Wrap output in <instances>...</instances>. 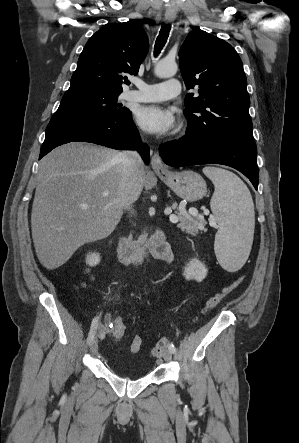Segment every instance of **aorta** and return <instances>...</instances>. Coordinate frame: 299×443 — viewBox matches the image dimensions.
I'll use <instances>...</instances> for the list:
<instances>
[{
	"instance_id": "762f6f07",
	"label": "aorta",
	"mask_w": 299,
	"mask_h": 443,
	"mask_svg": "<svg viewBox=\"0 0 299 443\" xmlns=\"http://www.w3.org/2000/svg\"><path fill=\"white\" fill-rule=\"evenodd\" d=\"M178 71V66L175 61L161 60L154 69V73L159 78H168L174 76Z\"/></svg>"
}]
</instances>
